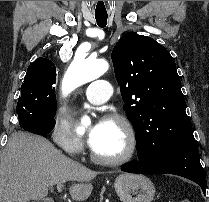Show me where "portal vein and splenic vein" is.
<instances>
[{
  "instance_id": "1",
  "label": "portal vein and splenic vein",
  "mask_w": 209,
  "mask_h": 202,
  "mask_svg": "<svg viewBox=\"0 0 209 202\" xmlns=\"http://www.w3.org/2000/svg\"><path fill=\"white\" fill-rule=\"evenodd\" d=\"M57 191L61 192L62 191V185L61 184H57Z\"/></svg>"
}]
</instances>
